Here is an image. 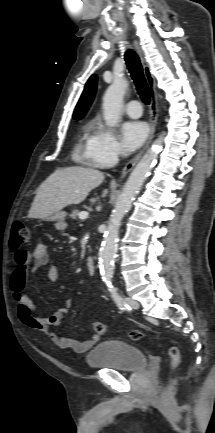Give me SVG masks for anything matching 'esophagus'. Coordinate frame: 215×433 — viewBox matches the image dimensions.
<instances>
[{"label":"esophagus","instance_id":"esophagus-1","mask_svg":"<svg viewBox=\"0 0 215 433\" xmlns=\"http://www.w3.org/2000/svg\"><path fill=\"white\" fill-rule=\"evenodd\" d=\"M134 46H135V49H136V51L140 57L141 64L143 67L144 76H145V79H146L148 87H149V94H150V98H151L150 132H149V137H148V140H147L144 148L135 157H133L126 164V166L123 168V170L121 172V178H124L133 169V167L136 165V163L138 162V160L142 156L144 150L151 143V141L154 137L155 128H156L157 119H158V98H157V92H156L155 78H154V76L150 70L149 64L147 63V61L144 57V53H143L142 49L140 48L137 41H134Z\"/></svg>","mask_w":215,"mask_h":433}]
</instances>
